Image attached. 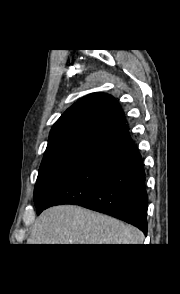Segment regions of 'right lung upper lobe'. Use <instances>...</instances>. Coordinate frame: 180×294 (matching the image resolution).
<instances>
[{
  "mask_svg": "<svg viewBox=\"0 0 180 294\" xmlns=\"http://www.w3.org/2000/svg\"><path fill=\"white\" fill-rule=\"evenodd\" d=\"M125 122L122 109L111 95L92 93L77 101L56 121L47 148L79 140L100 143Z\"/></svg>",
  "mask_w": 180,
  "mask_h": 294,
  "instance_id": "cb5924a9",
  "label": "right lung upper lobe"
}]
</instances>
